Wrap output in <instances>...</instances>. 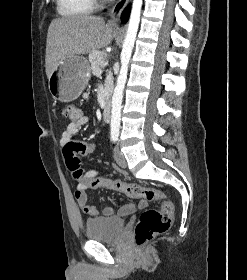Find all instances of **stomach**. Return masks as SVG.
Instances as JSON below:
<instances>
[{"label":"stomach","instance_id":"1","mask_svg":"<svg viewBox=\"0 0 247 280\" xmlns=\"http://www.w3.org/2000/svg\"><path fill=\"white\" fill-rule=\"evenodd\" d=\"M90 73L91 68L86 58L78 55L67 57L51 74L49 91L61 102L74 101L87 85Z\"/></svg>","mask_w":247,"mask_h":280}]
</instances>
